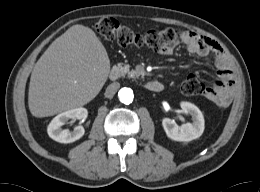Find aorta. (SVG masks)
<instances>
[{"label":"aorta","mask_w":260,"mask_h":192,"mask_svg":"<svg viewBox=\"0 0 260 192\" xmlns=\"http://www.w3.org/2000/svg\"><path fill=\"white\" fill-rule=\"evenodd\" d=\"M118 97H119L120 102L128 105V104L132 103L134 94L130 88L124 87V88L120 89V91L118 93Z\"/></svg>","instance_id":"obj_1"}]
</instances>
